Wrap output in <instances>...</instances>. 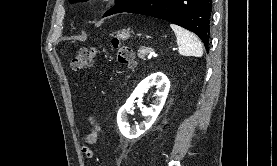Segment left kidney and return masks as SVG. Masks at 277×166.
Wrapping results in <instances>:
<instances>
[{"label":"left kidney","instance_id":"1","mask_svg":"<svg viewBox=\"0 0 277 166\" xmlns=\"http://www.w3.org/2000/svg\"><path fill=\"white\" fill-rule=\"evenodd\" d=\"M151 86H156L157 88L156 99L151 107L143 109L142 114L145 117V121L139 125L130 127L128 124V114L133 108L135 99L142 97L144 92ZM169 88V79L161 72H157L148 76L138 84L117 114V124L121 134L124 137L129 139L137 138L145 133L153 125L165 104Z\"/></svg>","mask_w":277,"mask_h":166}]
</instances>
